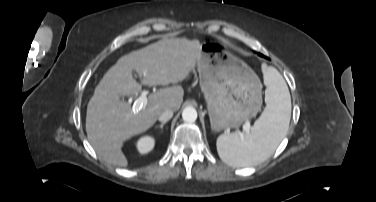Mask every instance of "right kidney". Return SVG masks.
<instances>
[{"mask_svg":"<svg viewBox=\"0 0 376 202\" xmlns=\"http://www.w3.org/2000/svg\"><path fill=\"white\" fill-rule=\"evenodd\" d=\"M154 144V137L151 135H144L137 140L136 147L141 154H146L153 149Z\"/></svg>","mask_w":376,"mask_h":202,"instance_id":"ca27d5eb","label":"right kidney"}]
</instances>
